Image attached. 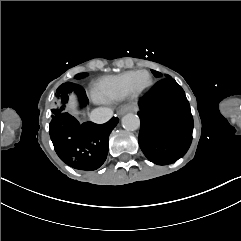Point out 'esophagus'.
I'll list each match as a JSON object with an SVG mask.
<instances>
[{"mask_svg":"<svg viewBox=\"0 0 241 241\" xmlns=\"http://www.w3.org/2000/svg\"><path fill=\"white\" fill-rule=\"evenodd\" d=\"M134 108L133 105L131 104H126L124 106H122L119 110H118V115H123L124 113L128 112V111H132Z\"/></svg>","mask_w":241,"mask_h":241,"instance_id":"obj_1","label":"esophagus"}]
</instances>
